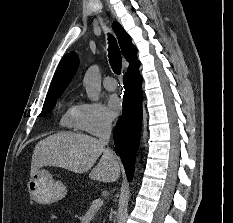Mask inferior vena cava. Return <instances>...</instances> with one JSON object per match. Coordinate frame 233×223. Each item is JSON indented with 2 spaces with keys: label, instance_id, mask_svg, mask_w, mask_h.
<instances>
[{
  "label": "inferior vena cava",
  "instance_id": "602c4592",
  "mask_svg": "<svg viewBox=\"0 0 233 223\" xmlns=\"http://www.w3.org/2000/svg\"><path fill=\"white\" fill-rule=\"evenodd\" d=\"M112 131V121L108 117H101L99 121V131L97 133L100 143L108 145Z\"/></svg>",
  "mask_w": 233,
  "mask_h": 223
}]
</instances>
